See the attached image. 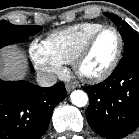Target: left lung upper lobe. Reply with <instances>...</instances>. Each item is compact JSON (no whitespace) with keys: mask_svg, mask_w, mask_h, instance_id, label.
Listing matches in <instances>:
<instances>
[{"mask_svg":"<svg viewBox=\"0 0 139 139\" xmlns=\"http://www.w3.org/2000/svg\"><path fill=\"white\" fill-rule=\"evenodd\" d=\"M118 27L119 32L124 38V53L139 47V34L120 17L105 13Z\"/></svg>","mask_w":139,"mask_h":139,"instance_id":"left-lung-upper-lobe-1","label":"left lung upper lobe"}]
</instances>
